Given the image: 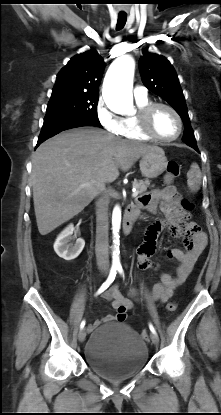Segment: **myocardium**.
I'll list each match as a JSON object with an SVG mask.
<instances>
[{
	"label": "myocardium",
	"mask_w": 221,
	"mask_h": 415,
	"mask_svg": "<svg viewBox=\"0 0 221 415\" xmlns=\"http://www.w3.org/2000/svg\"><path fill=\"white\" fill-rule=\"evenodd\" d=\"M160 107L169 110L175 116L178 122V131L176 135L173 137H170V138L162 137L158 135L153 129V126H152L153 114L155 110ZM137 118H138V124H139L140 130L150 139H153L159 142H165V143L173 142L180 137L183 131V121H182L180 114L173 106L167 103H164V102L148 103L147 105H145L138 111Z\"/></svg>",
	"instance_id": "f54148a6"
}]
</instances>
